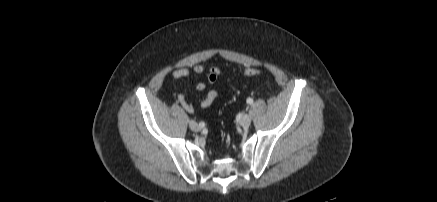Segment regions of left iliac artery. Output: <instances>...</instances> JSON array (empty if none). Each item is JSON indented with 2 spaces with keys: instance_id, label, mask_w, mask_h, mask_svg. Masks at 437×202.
Returning <instances> with one entry per match:
<instances>
[{
  "instance_id": "1",
  "label": "left iliac artery",
  "mask_w": 437,
  "mask_h": 202,
  "mask_svg": "<svg viewBox=\"0 0 437 202\" xmlns=\"http://www.w3.org/2000/svg\"><path fill=\"white\" fill-rule=\"evenodd\" d=\"M247 103H248V104H252V103H253V99H252V98H248V99H247Z\"/></svg>"
}]
</instances>
